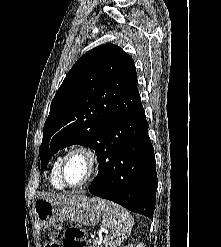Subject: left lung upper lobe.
I'll list each match as a JSON object with an SVG mask.
<instances>
[{"mask_svg":"<svg viewBox=\"0 0 221 247\" xmlns=\"http://www.w3.org/2000/svg\"><path fill=\"white\" fill-rule=\"evenodd\" d=\"M141 107L131 56L113 44L88 51L67 73L52 100L39 148L42 169L54 153L73 144L98 153L104 128Z\"/></svg>","mask_w":221,"mask_h":247,"instance_id":"left-lung-upper-lobe-1","label":"left lung upper lobe"}]
</instances>
